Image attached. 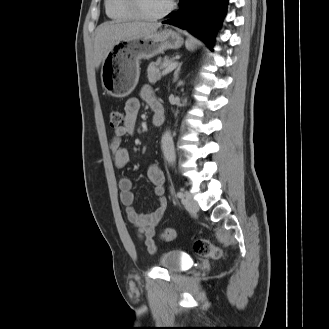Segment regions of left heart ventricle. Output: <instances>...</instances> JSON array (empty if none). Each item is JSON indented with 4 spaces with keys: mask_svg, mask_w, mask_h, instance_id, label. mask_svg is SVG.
<instances>
[{
    "mask_svg": "<svg viewBox=\"0 0 329 329\" xmlns=\"http://www.w3.org/2000/svg\"><path fill=\"white\" fill-rule=\"evenodd\" d=\"M143 12L147 15H156L167 8L170 0H139Z\"/></svg>",
    "mask_w": 329,
    "mask_h": 329,
    "instance_id": "obj_1",
    "label": "left heart ventricle"
}]
</instances>
